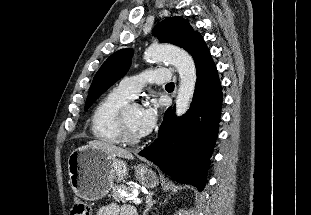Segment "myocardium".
Instances as JSON below:
<instances>
[{
    "mask_svg": "<svg viewBox=\"0 0 311 215\" xmlns=\"http://www.w3.org/2000/svg\"><path fill=\"white\" fill-rule=\"evenodd\" d=\"M133 106H139L136 102H129L125 104L118 112L117 122H118V129L119 134L122 142L135 145L141 142V138L135 137L129 131L126 115L128 110Z\"/></svg>",
    "mask_w": 311,
    "mask_h": 215,
    "instance_id": "1",
    "label": "myocardium"
}]
</instances>
